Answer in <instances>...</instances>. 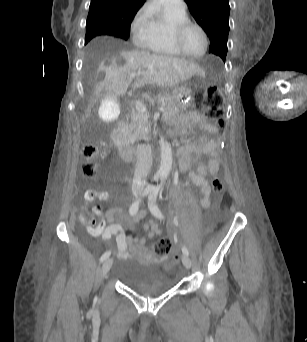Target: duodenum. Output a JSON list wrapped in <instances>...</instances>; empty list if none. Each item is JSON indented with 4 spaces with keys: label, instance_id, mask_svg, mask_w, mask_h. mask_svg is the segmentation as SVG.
I'll use <instances>...</instances> for the list:
<instances>
[{
    "label": "duodenum",
    "instance_id": "410a0bca",
    "mask_svg": "<svg viewBox=\"0 0 307 342\" xmlns=\"http://www.w3.org/2000/svg\"><path fill=\"white\" fill-rule=\"evenodd\" d=\"M118 124L113 130L112 133V142L118 153L123 158H130L132 156V150L128 144V139L126 132L124 130V126L126 125L127 119L126 117H119Z\"/></svg>",
    "mask_w": 307,
    "mask_h": 342
}]
</instances>
